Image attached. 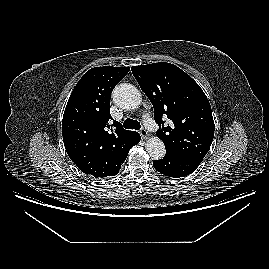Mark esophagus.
<instances>
[{"mask_svg":"<svg viewBox=\"0 0 269 269\" xmlns=\"http://www.w3.org/2000/svg\"><path fill=\"white\" fill-rule=\"evenodd\" d=\"M140 136L142 139H147L148 138V131L145 128H141L140 130Z\"/></svg>","mask_w":269,"mask_h":269,"instance_id":"esophagus-1","label":"esophagus"}]
</instances>
